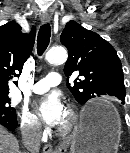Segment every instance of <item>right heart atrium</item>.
Returning a JSON list of instances; mask_svg holds the SVG:
<instances>
[{"instance_id": "d8ad5b80", "label": "right heart atrium", "mask_w": 130, "mask_h": 153, "mask_svg": "<svg viewBox=\"0 0 130 153\" xmlns=\"http://www.w3.org/2000/svg\"><path fill=\"white\" fill-rule=\"evenodd\" d=\"M20 127L24 135L37 138L41 134V124L38 118L27 110L20 113Z\"/></svg>"}]
</instances>
